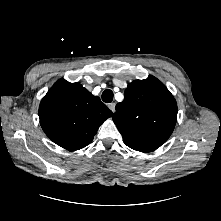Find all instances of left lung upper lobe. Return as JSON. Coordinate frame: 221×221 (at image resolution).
Segmentation results:
<instances>
[{
    "instance_id": "obj_1",
    "label": "left lung upper lobe",
    "mask_w": 221,
    "mask_h": 221,
    "mask_svg": "<svg viewBox=\"0 0 221 221\" xmlns=\"http://www.w3.org/2000/svg\"><path fill=\"white\" fill-rule=\"evenodd\" d=\"M124 143L151 152L170 137L177 119V104L166 86L154 76L128 84L124 100L112 116Z\"/></svg>"
}]
</instances>
